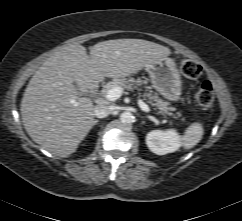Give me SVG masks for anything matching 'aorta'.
<instances>
[{
    "instance_id": "1",
    "label": "aorta",
    "mask_w": 242,
    "mask_h": 221,
    "mask_svg": "<svg viewBox=\"0 0 242 221\" xmlns=\"http://www.w3.org/2000/svg\"><path fill=\"white\" fill-rule=\"evenodd\" d=\"M133 120V115L131 112L129 111H124L123 113H121L120 115V121L122 123H131Z\"/></svg>"
}]
</instances>
